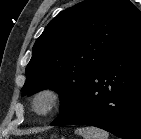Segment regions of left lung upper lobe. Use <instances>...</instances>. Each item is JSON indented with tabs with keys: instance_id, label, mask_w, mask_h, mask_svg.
Listing matches in <instances>:
<instances>
[{
	"instance_id": "left-lung-upper-lobe-1",
	"label": "left lung upper lobe",
	"mask_w": 141,
	"mask_h": 139,
	"mask_svg": "<svg viewBox=\"0 0 141 139\" xmlns=\"http://www.w3.org/2000/svg\"><path fill=\"white\" fill-rule=\"evenodd\" d=\"M141 30V12L129 0H85L59 13L33 46L22 95L52 88L63 113L89 74Z\"/></svg>"
}]
</instances>
